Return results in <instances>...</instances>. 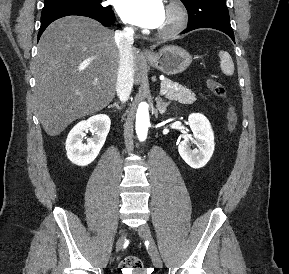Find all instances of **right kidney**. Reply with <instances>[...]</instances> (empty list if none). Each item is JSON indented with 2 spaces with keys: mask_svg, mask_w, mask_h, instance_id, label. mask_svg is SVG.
Segmentation results:
<instances>
[{
  "mask_svg": "<svg viewBox=\"0 0 289 274\" xmlns=\"http://www.w3.org/2000/svg\"><path fill=\"white\" fill-rule=\"evenodd\" d=\"M111 121L105 114L94 115L77 123L66 139L68 159L75 165L87 166L98 156L110 130ZM90 130L93 137L83 143L84 132Z\"/></svg>",
  "mask_w": 289,
  "mask_h": 274,
  "instance_id": "right-kidney-1",
  "label": "right kidney"
}]
</instances>
